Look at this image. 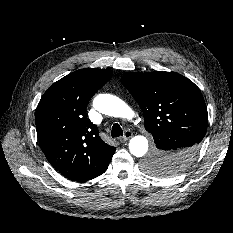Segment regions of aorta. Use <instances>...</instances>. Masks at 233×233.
Segmentation results:
<instances>
[{
	"instance_id": "obj_1",
	"label": "aorta",
	"mask_w": 233,
	"mask_h": 233,
	"mask_svg": "<svg viewBox=\"0 0 233 233\" xmlns=\"http://www.w3.org/2000/svg\"><path fill=\"white\" fill-rule=\"evenodd\" d=\"M94 107L102 114L132 119L133 110L120 98L111 94H99L93 100ZM129 150L136 157H143L148 151V140L141 135L134 136L129 142Z\"/></svg>"
}]
</instances>
